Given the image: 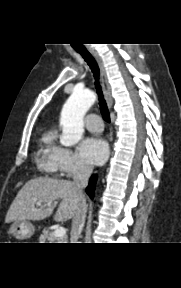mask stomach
I'll return each mask as SVG.
<instances>
[{"mask_svg":"<svg viewBox=\"0 0 181 288\" xmlns=\"http://www.w3.org/2000/svg\"><path fill=\"white\" fill-rule=\"evenodd\" d=\"M7 233L17 240H25L34 234V227L28 221H14L7 228Z\"/></svg>","mask_w":181,"mask_h":288,"instance_id":"obj_1","label":"stomach"}]
</instances>
